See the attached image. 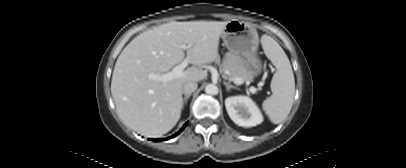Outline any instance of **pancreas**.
Instances as JSON below:
<instances>
[{
  "instance_id": "pancreas-1",
  "label": "pancreas",
  "mask_w": 406,
  "mask_h": 168,
  "mask_svg": "<svg viewBox=\"0 0 406 168\" xmlns=\"http://www.w3.org/2000/svg\"><path fill=\"white\" fill-rule=\"evenodd\" d=\"M217 62H219L218 59ZM220 72L232 79L240 78L243 82L253 79V76L247 72L243 63L232 54L226 55L222 65H220Z\"/></svg>"
}]
</instances>
